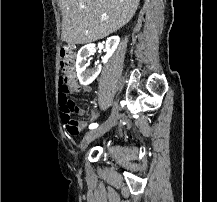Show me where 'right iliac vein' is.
<instances>
[{"mask_svg":"<svg viewBox=\"0 0 217 202\" xmlns=\"http://www.w3.org/2000/svg\"><path fill=\"white\" fill-rule=\"evenodd\" d=\"M118 115V105L115 104L109 118L98 129L92 130L86 134L81 142L80 149L85 150L95 138L100 137L109 131L116 124Z\"/></svg>","mask_w":217,"mask_h":202,"instance_id":"63e3f726","label":"right iliac vein"}]
</instances>
